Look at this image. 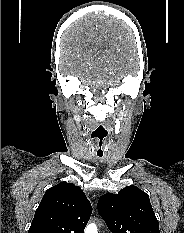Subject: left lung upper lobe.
Instances as JSON below:
<instances>
[{
	"label": "left lung upper lobe",
	"instance_id": "1",
	"mask_svg": "<svg viewBox=\"0 0 184 233\" xmlns=\"http://www.w3.org/2000/svg\"><path fill=\"white\" fill-rule=\"evenodd\" d=\"M98 211L112 233H160L149 196L136 186L104 194Z\"/></svg>",
	"mask_w": 184,
	"mask_h": 233
}]
</instances>
